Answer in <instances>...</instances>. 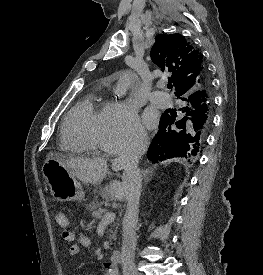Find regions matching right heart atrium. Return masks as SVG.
<instances>
[{
	"label": "right heart atrium",
	"mask_w": 263,
	"mask_h": 275,
	"mask_svg": "<svg viewBox=\"0 0 263 275\" xmlns=\"http://www.w3.org/2000/svg\"><path fill=\"white\" fill-rule=\"evenodd\" d=\"M146 132L129 103L112 101L106 104L102 147L110 154L142 145Z\"/></svg>",
	"instance_id": "obj_1"
}]
</instances>
